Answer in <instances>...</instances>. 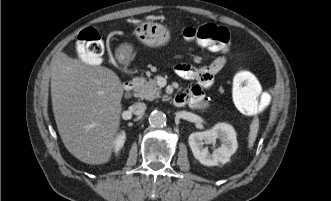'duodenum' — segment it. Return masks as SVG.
<instances>
[{
    "mask_svg": "<svg viewBox=\"0 0 331 201\" xmlns=\"http://www.w3.org/2000/svg\"><path fill=\"white\" fill-rule=\"evenodd\" d=\"M134 86H135V83L131 80H127L123 83V89H124L125 92H130L134 88ZM173 103L176 106L181 105V103H182L181 96L180 95H175L173 97Z\"/></svg>",
    "mask_w": 331,
    "mask_h": 201,
    "instance_id": "1",
    "label": "duodenum"
}]
</instances>
